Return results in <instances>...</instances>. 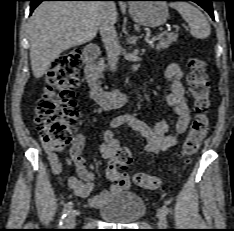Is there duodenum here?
Segmentation results:
<instances>
[{"mask_svg":"<svg viewBox=\"0 0 234 231\" xmlns=\"http://www.w3.org/2000/svg\"><path fill=\"white\" fill-rule=\"evenodd\" d=\"M98 54L99 47L96 44H89L82 53L85 78L91 89V97L104 110L121 107L129 100L130 94L122 89L105 91L101 88L94 72V62Z\"/></svg>","mask_w":234,"mask_h":231,"instance_id":"obj_1","label":"duodenum"}]
</instances>
